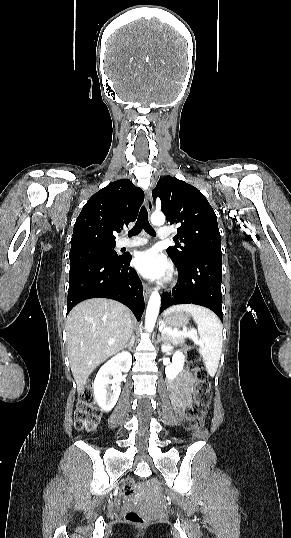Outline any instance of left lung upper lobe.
Returning a JSON list of instances; mask_svg holds the SVG:
<instances>
[{"label": "left lung upper lobe", "mask_w": 291, "mask_h": 538, "mask_svg": "<svg viewBox=\"0 0 291 538\" xmlns=\"http://www.w3.org/2000/svg\"><path fill=\"white\" fill-rule=\"evenodd\" d=\"M161 200V210L170 225H177V242L167 249L174 264L199 254L222 255L217 217L206 197L194 186L164 176L152 191Z\"/></svg>", "instance_id": "left-lung-upper-lobe-1"}]
</instances>
